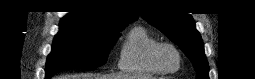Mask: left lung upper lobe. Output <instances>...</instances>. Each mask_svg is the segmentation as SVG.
Masks as SVG:
<instances>
[{"label":"left lung upper lobe","instance_id":"5c2ea615","mask_svg":"<svg viewBox=\"0 0 255 79\" xmlns=\"http://www.w3.org/2000/svg\"><path fill=\"white\" fill-rule=\"evenodd\" d=\"M140 14L180 47L194 65L197 79H209V66L204 53V45L190 15L158 7H153Z\"/></svg>","mask_w":255,"mask_h":79}]
</instances>
